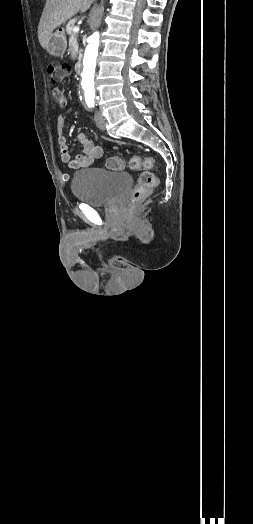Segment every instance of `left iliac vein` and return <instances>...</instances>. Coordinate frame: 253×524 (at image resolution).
<instances>
[{
    "label": "left iliac vein",
    "mask_w": 253,
    "mask_h": 524,
    "mask_svg": "<svg viewBox=\"0 0 253 524\" xmlns=\"http://www.w3.org/2000/svg\"><path fill=\"white\" fill-rule=\"evenodd\" d=\"M95 122L99 129H106V119L97 112L95 113Z\"/></svg>",
    "instance_id": "left-iliac-vein-1"
}]
</instances>
